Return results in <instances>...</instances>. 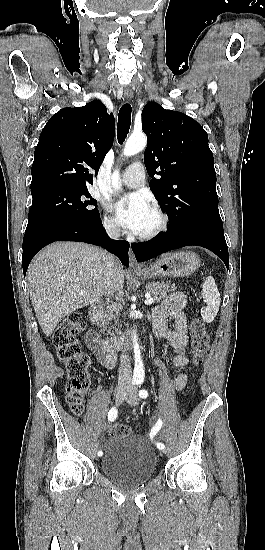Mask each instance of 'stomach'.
<instances>
[{
  "instance_id": "0dacf381",
  "label": "stomach",
  "mask_w": 265,
  "mask_h": 550,
  "mask_svg": "<svg viewBox=\"0 0 265 550\" xmlns=\"http://www.w3.org/2000/svg\"><path fill=\"white\" fill-rule=\"evenodd\" d=\"M200 266L198 255L190 251L164 254L155 263L147 265L136 274L145 279L157 277H187Z\"/></svg>"
}]
</instances>
